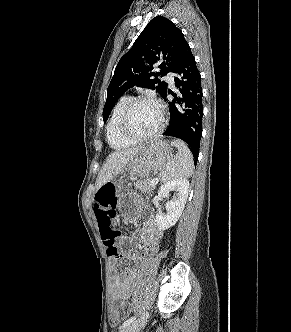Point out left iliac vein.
I'll return each mask as SVG.
<instances>
[{"mask_svg": "<svg viewBox=\"0 0 291 332\" xmlns=\"http://www.w3.org/2000/svg\"><path fill=\"white\" fill-rule=\"evenodd\" d=\"M148 315L143 316L141 319L134 323L122 328L120 332H138L147 320Z\"/></svg>", "mask_w": 291, "mask_h": 332, "instance_id": "left-iliac-vein-1", "label": "left iliac vein"}]
</instances>
